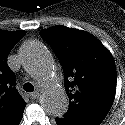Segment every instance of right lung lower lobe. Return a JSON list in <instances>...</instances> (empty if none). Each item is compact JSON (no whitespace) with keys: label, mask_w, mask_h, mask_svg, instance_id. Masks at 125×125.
<instances>
[{"label":"right lung lower lobe","mask_w":125,"mask_h":125,"mask_svg":"<svg viewBox=\"0 0 125 125\" xmlns=\"http://www.w3.org/2000/svg\"><path fill=\"white\" fill-rule=\"evenodd\" d=\"M25 109V108H24ZM24 109H22L19 113H17L15 116L11 117L10 119L6 120L4 123L1 125H19Z\"/></svg>","instance_id":"98d812e1"}]
</instances>
